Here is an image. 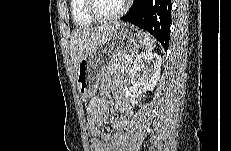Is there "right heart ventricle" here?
<instances>
[{
	"label": "right heart ventricle",
	"instance_id": "obj_1",
	"mask_svg": "<svg viewBox=\"0 0 231 151\" xmlns=\"http://www.w3.org/2000/svg\"><path fill=\"white\" fill-rule=\"evenodd\" d=\"M71 12L76 24L81 26H89L96 22L86 11V0H72Z\"/></svg>",
	"mask_w": 231,
	"mask_h": 151
}]
</instances>
